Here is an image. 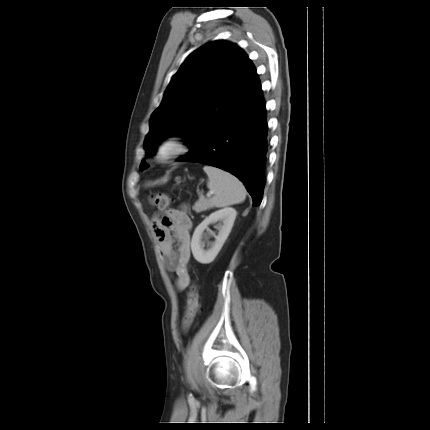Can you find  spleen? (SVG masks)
Listing matches in <instances>:
<instances>
[{
    "label": "spleen",
    "mask_w": 430,
    "mask_h": 430,
    "mask_svg": "<svg viewBox=\"0 0 430 430\" xmlns=\"http://www.w3.org/2000/svg\"><path fill=\"white\" fill-rule=\"evenodd\" d=\"M203 170L209 178L208 188L214 191V196L211 198L212 206L220 208L245 200L246 189L236 176L210 165H205Z\"/></svg>",
    "instance_id": "1"
}]
</instances>
